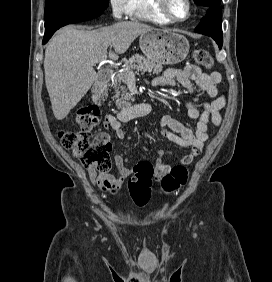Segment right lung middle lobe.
Returning <instances> with one entry per match:
<instances>
[{"label":"right lung middle lobe","mask_w":272,"mask_h":282,"mask_svg":"<svg viewBox=\"0 0 272 282\" xmlns=\"http://www.w3.org/2000/svg\"><path fill=\"white\" fill-rule=\"evenodd\" d=\"M109 0H46L45 20L59 14L70 13L79 10L104 11Z\"/></svg>","instance_id":"obj_1"}]
</instances>
